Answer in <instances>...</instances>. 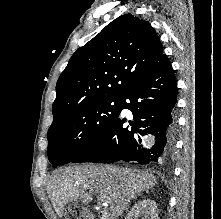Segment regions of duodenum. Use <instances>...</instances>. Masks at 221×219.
<instances>
[{"mask_svg": "<svg viewBox=\"0 0 221 219\" xmlns=\"http://www.w3.org/2000/svg\"><path fill=\"white\" fill-rule=\"evenodd\" d=\"M98 219H114L113 217H111L110 214H108L107 212L105 211H98Z\"/></svg>", "mask_w": 221, "mask_h": 219, "instance_id": "1", "label": "duodenum"}]
</instances>
